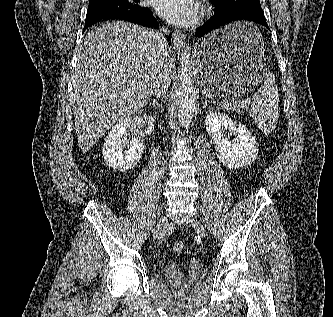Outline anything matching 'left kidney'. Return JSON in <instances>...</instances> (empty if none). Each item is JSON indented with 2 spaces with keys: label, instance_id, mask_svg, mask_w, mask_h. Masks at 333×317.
<instances>
[{
  "label": "left kidney",
  "instance_id": "left-kidney-1",
  "mask_svg": "<svg viewBox=\"0 0 333 317\" xmlns=\"http://www.w3.org/2000/svg\"><path fill=\"white\" fill-rule=\"evenodd\" d=\"M205 125L215 143L216 156L224 166L236 169L255 161L259 151L258 144L244 125L220 112L208 113ZM225 130L236 137L229 141Z\"/></svg>",
  "mask_w": 333,
  "mask_h": 317
}]
</instances>
